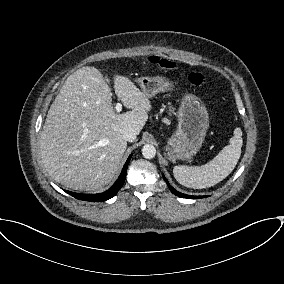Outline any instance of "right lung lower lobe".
<instances>
[{
    "mask_svg": "<svg viewBox=\"0 0 284 284\" xmlns=\"http://www.w3.org/2000/svg\"><path fill=\"white\" fill-rule=\"evenodd\" d=\"M130 159H131V155L127 159L118 180L107 191H105L103 193H99V194H80V193H74V192L67 191V190H65V192H67L71 196L75 197L76 199L84 200V201H90V202L106 201V200L112 198L113 196L116 195V193L120 190V188L124 184V181H125V178H126L127 167H128Z\"/></svg>",
    "mask_w": 284,
    "mask_h": 284,
    "instance_id": "obj_1",
    "label": "right lung lower lobe"
}]
</instances>
